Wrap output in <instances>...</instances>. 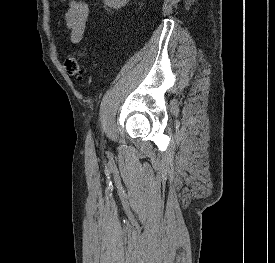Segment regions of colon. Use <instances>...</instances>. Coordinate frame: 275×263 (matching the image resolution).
Wrapping results in <instances>:
<instances>
[{"instance_id": "colon-1", "label": "colon", "mask_w": 275, "mask_h": 263, "mask_svg": "<svg viewBox=\"0 0 275 263\" xmlns=\"http://www.w3.org/2000/svg\"><path fill=\"white\" fill-rule=\"evenodd\" d=\"M64 69L69 76L76 78L78 81L84 80V71L81 65V59L77 55H69L64 60Z\"/></svg>"}]
</instances>
